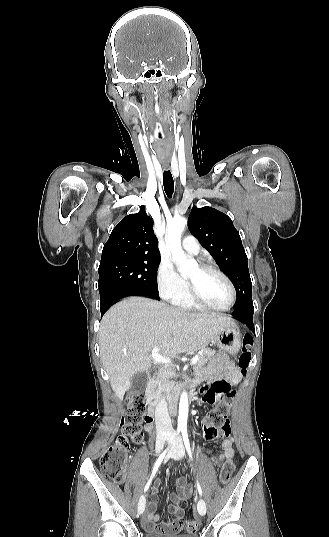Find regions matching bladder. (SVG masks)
<instances>
[{
  "instance_id": "obj_1",
  "label": "bladder",
  "mask_w": 329,
  "mask_h": 537,
  "mask_svg": "<svg viewBox=\"0 0 329 537\" xmlns=\"http://www.w3.org/2000/svg\"><path fill=\"white\" fill-rule=\"evenodd\" d=\"M144 537H199L196 533H187V534H167V533H157L147 531Z\"/></svg>"
}]
</instances>
